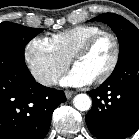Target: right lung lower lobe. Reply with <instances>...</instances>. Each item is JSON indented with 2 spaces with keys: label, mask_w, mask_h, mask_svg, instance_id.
<instances>
[{
  "label": "right lung lower lobe",
  "mask_w": 139,
  "mask_h": 139,
  "mask_svg": "<svg viewBox=\"0 0 139 139\" xmlns=\"http://www.w3.org/2000/svg\"><path fill=\"white\" fill-rule=\"evenodd\" d=\"M62 90L35 81L24 57L0 52V139H43Z\"/></svg>",
  "instance_id": "98d812e1"
}]
</instances>
